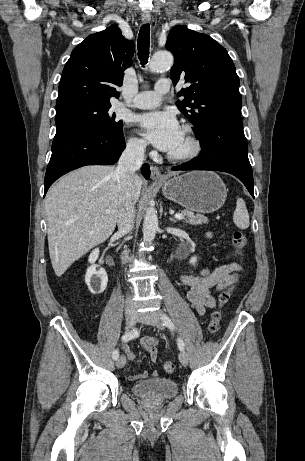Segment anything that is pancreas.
Listing matches in <instances>:
<instances>
[{"mask_svg": "<svg viewBox=\"0 0 305 461\" xmlns=\"http://www.w3.org/2000/svg\"><path fill=\"white\" fill-rule=\"evenodd\" d=\"M181 213L184 216H186L185 222L191 225H200L203 223L204 224L208 223V218L201 214L194 215L193 212L188 211V210H182Z\"/></svg>", "mask_w": 305, "mask_h": 461, "instance_id": "cf45deb5", "label": "pancreas"}]
</instances>
